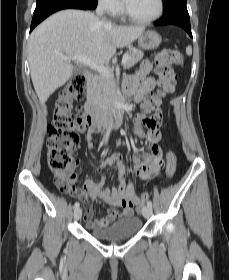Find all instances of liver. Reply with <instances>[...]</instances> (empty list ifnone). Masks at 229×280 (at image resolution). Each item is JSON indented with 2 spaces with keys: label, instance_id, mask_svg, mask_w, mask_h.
Here are the masks:
<instances>
[{
  "label": "liver",
  "instance_id": "1",
  "mask_svg": "<svg viewBox=\"0 0 229 280\" xmlns=\"http://www.w3.org/2000/svg\"><path fill=\"white\" fill-rule=\"evenodd\" d=\"M144 30L115 25L82 10L67 9L51 15L34 29L28 44L31 79L39 101L45 103L74 73L71 60L62 56H86L104 64L117 48L130 45Z\"/></svg>",
  "mask_w": 229,
  "mask_h": 280
}]
</instances>
